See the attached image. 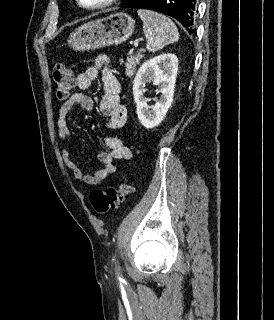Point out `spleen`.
Instances as JSON below:
<instances>
[{"label":"spleen","mask_w":274,"mask_h":320,"mask_svg":"<svg viewBox=\"0 0 274 320\" xmlns=\"http://www.w3.org/2000/svg\"><path fill=\"white\" fill-rule=\"evenodd\" d=\"M137 14L144 24L143 32L146 36L148 52H157L167 44L178 42V30L172 20L151 10H138Z\"/></svg>","instance_id":"spleen-1"}]
</instances>
